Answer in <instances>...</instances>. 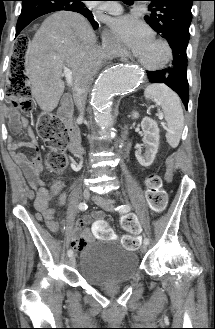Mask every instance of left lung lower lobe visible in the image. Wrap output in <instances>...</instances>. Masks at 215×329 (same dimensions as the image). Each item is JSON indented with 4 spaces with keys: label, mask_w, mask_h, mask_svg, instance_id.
Segmentation results:
<instances>
[{
    "label": "left lung lower lobe",
    "mask_w": 215,
    "mask_h": 329,
    "mask_svg": "<svg viewBox=\"0 0 215 329\" xmlns=\"http://www.w3.org/2000/svg\"><path fill=\"white\" fill-rule=\"evenodd\" d=\"M167 41L173 52V62L170 67L147 73L150 83H164L173 89L181 98L185 108H188L189 85L187 80V46L188 41L170 35Z\"/></svg>",
    "instance_id": "left-lung-lower-lobe-1"
}]
</instances>
